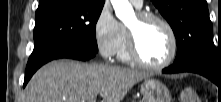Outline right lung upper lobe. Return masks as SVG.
Wrapping results in <instances>:
<instances>
[{"label":"right lung upper lobe","instance_id":"1","mask_svg":"<svg viewBox=\"0 0 221 102\" xmlns=\"http://www.w3.org/2000/svg\"><path fill=\"white\" fill-rule=\"evenodd\" d=\"M54 0H40L39 6L45 5ZM90 4H104V0H83Z\"/></svg>","mask_w":221,"mask_h":102}]
</instances>
